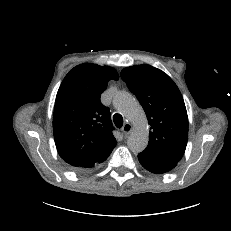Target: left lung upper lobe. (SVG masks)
Here are the masks:
<instances>
[{
	"mask_svg": "<svg viewBox=\"0 0 231 231\" xmlns=\"http://www.w3.org/2000/svg\"><path fill=\"white\" fill-rule=\"evenodd\" d=\"M121 78L136 95L147 115L149 143L141 152L178 163L188 139V117L183 97L174 81L150 65L126 67Z\"/></svg>",
	"mask_w": 231,
	"mask_h": 231,
	"instance_id": "obj_1",
	"label": "left lung upper lobe"
}]
</instances>
